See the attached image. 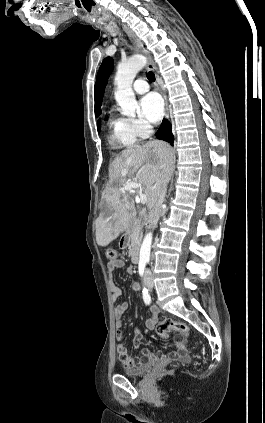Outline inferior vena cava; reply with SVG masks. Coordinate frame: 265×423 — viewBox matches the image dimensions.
Wrapping results in <instances>:
<instances>
[{
    "mask_svg": "<svg viewBox=\"0 0 265 423\" xmlns=\"http://www.w3.org/2000/svg\"><path fill=\"white\" fill-rule=\"evenodd\" d=\"M152 132V130H151ZM166 185L163 187L162 191L160 192L158 199L156 201V204L152 210V212L150 213L149 216V225H148V229L150 228H155L159 219V216L161 215L162 212V204L164 202L165 199V195H166ZM151 276V271L149 269H147L144 273V280L148 279Z\"/></svg>",
    "mask_w": 265,
    "mask_h": 423,
    "instance_id": "obj_1",
    "label": "inferior vena cava"
}]
</instances>
